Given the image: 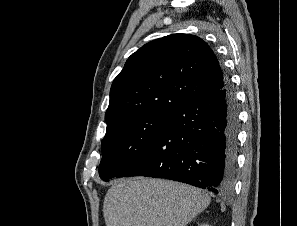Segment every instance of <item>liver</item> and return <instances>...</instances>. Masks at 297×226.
I'll use <instances>...</instances> for the list:
<instances>
[{
    "label": "liver",
    "mask_w": 297,
    "mask_h": 226,
    "mask_svg": "<svg viewBox=\"0 0 297 226\" xmlns=\"http://www.w3.org/2000/svg\"><path fill=\"white\" fill-rule=\"evenodd\" d=\"M209 203V195L199 188L141 177L115 181L103 213L106 226H186Z\"/></svg>",
    "instance_id": "1"
}]
</instances>
